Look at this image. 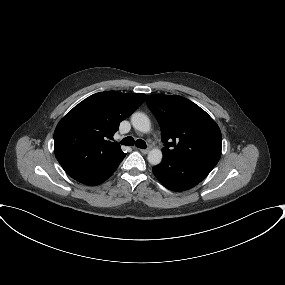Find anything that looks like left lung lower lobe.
Here are the masks:
<instances>
[{
  "instance_id": "left-lung-lower-lobe-1",
  "label": "left lung lower lobe",
  "mask_w": 285,
  "mask_h": 285,
  "mask_svg": "<svg viewBox=\"0 0 285 285\" xmlns=\"http://www.w3.org/2000/svg\"><path fill=\"white\" fill-rule=\"evenodd\" d=\"M210 169L203 166L164 157L163 162L153 168V173L163 186L172 191L188 190L210 173Z\"/></svg>"
}]
</instances>
